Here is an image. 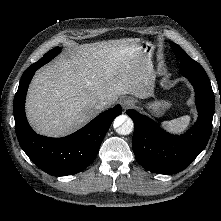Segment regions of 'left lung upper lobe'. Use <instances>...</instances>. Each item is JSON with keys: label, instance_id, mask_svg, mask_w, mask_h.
Returning a JSON list of instances; mask_svg holds the SVG:
<instances>
[{"label": "left lung upper lobe", "instance_id": "obj_1", "mask_svg": "<svg viewBox=\"0 0 221 221\" xmlns=\"http://www.w3.org/2000/svg\"><path fill=\"white\" fill-rule=\"evenodd\" d=\"M171 46H172L174 53L180 60L183 59L184 57H188L185 51L181 47H179L177 44L172 43Z\"/></svg>", "mask_w": 221, "mask_h": 221}]
</instances>
